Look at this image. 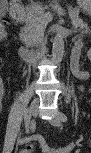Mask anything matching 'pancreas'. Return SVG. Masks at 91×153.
Here are the masks:
<instances>
[{
	"mask_svg": "<svg viewBox=\"0 0 91 153\" xmlns=\"http://www.w3.org/2000/svg\"><path fill=\"white\" fill-rule=\"evenodd\" d=\"M45 9L46 7L36 6L34 10L26 16V26L21 30V37L25 44L34 45L37 39L42 36L40 33L43 31ZM69 15L72 23L76 24V29L79 28V30H82L85 28V32H89L87 24H84L83 20L79 18L77 11L70 9Z\"/></svg>",
	"mask_w": 91,
	"mask_h": 153,
	"instance_id": "cf45deb5",
	"label": "pancreas"
}]
</instances>
